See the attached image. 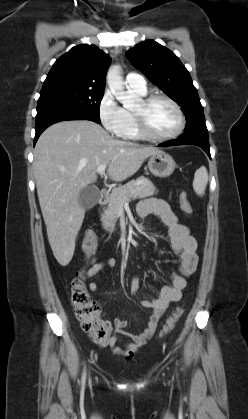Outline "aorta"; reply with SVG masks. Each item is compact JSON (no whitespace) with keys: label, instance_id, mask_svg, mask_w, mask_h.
Here are the masks:
<instances>
[{"label":"aorta","instance_id":"1","mask_svg":"<svg viewBox=\"0 0 248 419\" xmlns=\"http://www.w3.org/2000/svg\"><path fill=\"white\" fill-rule=\"evenodd\" d=\"M107 83L113 95L125 108L131 109L135 106L137 97L125 91L120 66L114 65L109 68Z\"/></svg>","mask_w":248,"mask_h":419}]
</instances>
